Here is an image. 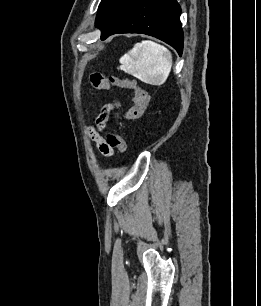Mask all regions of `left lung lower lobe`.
<instances>
[{
	"label": "left lung lower lobe",
	"instance_id": "left-lung-lower-lobe-1",
	"mask_svg": "<svg viewBox=\"0 0 261 306\" xmlns=\"http://www.w3.org/2000/svg\"><path fill=\"white\" fill-rule=\"evenodd\" d=\"M181 8L175 0H133L114 28L101 40L118 33H142L156 37L183 52Z\"/></svg>",
	"mask_w": 261,
	"mask_h": 306
}]
</instances>
